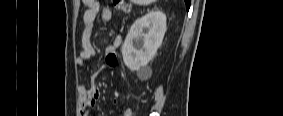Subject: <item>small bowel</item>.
Instances as JSON below:
<instances>
[{
	"mask_svg": "<svg viewBox=\"0 0 283 116\" xmlns=\"http://www.w3.org/2000/svg\"><path fill=\"white\" fill-rule=\"evenodd\" d=\"M86 10L83 13V27L81 34L82 50L77 58L79 66H85L86 62L92 59L96 50L91 43L94 32V23L96 16L99 15L101 21L108 22L111 19V11L106 7H101L96 0H83ZM121 44V36L116 35L113 42L106 48V64L113 67L117 63L116 51ZM79 103L82 108V115H87L86 108L95 107L100 98V90L96 86L81 84L78 88ZM116 103V99L113 100ZM122 116H131L132 110L125 109L121 113Z\"/></svg>",
	"mask_w": 283,
	"mask_h": 116,
	"instance_id": "small-bowel-1",
	"label": "small bowel"
}]
</instances>
